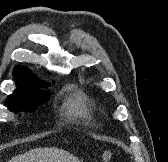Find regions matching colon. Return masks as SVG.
<instances>
[{"instance_id":"obj_1","label":"colon","mask_w":168,"mask_h":162,"mask_svg":"<svg viewBox=\"0 0 168 162\" xmlns=\"http://www.w3.org/2000/svg\"><path fill=\"white\" fill-rule=\"evenodd\" d=\"M113 158H114V154L110 150L104 151L102 154L103 162H112Z\"/></svg>"}]
</instances>
